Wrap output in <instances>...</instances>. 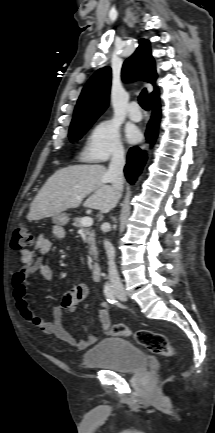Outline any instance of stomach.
<instances>
[{
    "label": "stomach",
    "instance_id": "0dacf381",
    "mask_svg": "<svg viewBox=\"0 0 215 433\" xmlns=\"http://www.w3.org/2000/svg\"><path fill=\"white\" fill-rule=\"evenodd\" d=\"M53 221L59 225H66L69 222V217L66 213H60L53 217Z\"/></svg>",
    "mask_w": 215,
    "mask_h": 433
}]
</instances>
